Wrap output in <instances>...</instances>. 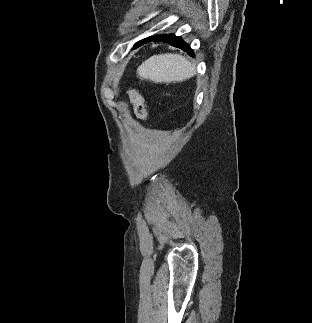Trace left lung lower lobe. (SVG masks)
I'll return each mask as SVG.
<instances>
[{
  "label": "left lung lower lobe",
  "mask_w": 312,
  "mask_h": 323,
  "mask_svg": "<svg viewBox=\"0 0 312 323\" xmlns=\"http://www.w3.org/2000/svg\"><path fill=\"white\" fill-rule=\"evenodd\" d=\"M146 41H156V42L164 41L167 43H171L173 46L180 48L183 51H186L191 56H194V52L190 48V46L188 44H186L181 39V37H177L174 34H164V35H157V36L148 37V38L142 40V42L138 46H140L141 44H143ZM138 46H136V47H138Z\"/></svg>",
  "instance_id": "1"
}]
</instances>
